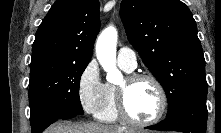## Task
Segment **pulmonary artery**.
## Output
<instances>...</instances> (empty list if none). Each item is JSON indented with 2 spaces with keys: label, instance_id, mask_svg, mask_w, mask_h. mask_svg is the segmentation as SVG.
<instances>
[{
  "label": "pulmonary artery",
  "instance_id": "obj_1",
  "mask_svg": "<svg viewBox=\"0 0 221 133\" xmlns=\"http://www.w3.org/2000/svg\"><path fill=\"white\" fill-rule=\"evenodd\" d=\"M117 63L129 70H134L137 66L135 52L127 47L121 48L117 54Z\"/></svg>",
  "mask_w": 221,
  "mask_h": 133
}]
</instances>
